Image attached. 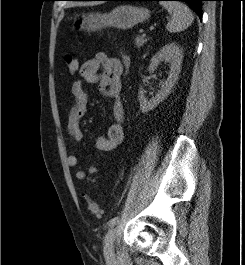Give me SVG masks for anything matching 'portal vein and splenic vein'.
<instances>
[{
	"label": "portal vein and splenic vein",
	"instance_id": "portal-vein-and-splenic-vein-1",
	"mask_svg": "<svg viewBox=\"0 0 245 265\" xmlns=\"http://www.w3.org/2000/svg\"><path fill=\"white\" fill-rule=\"evenodd\" d=\"M142 36L145 37L146 36V33H143Z\"/></svg>",
	"mask_w": 245,
	"mask_h": 265
}]
</instances>
